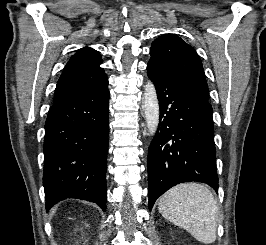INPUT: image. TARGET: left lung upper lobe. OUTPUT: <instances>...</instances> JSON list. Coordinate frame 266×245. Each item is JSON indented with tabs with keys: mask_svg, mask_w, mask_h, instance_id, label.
<instances>
[{
	"mask_svg": "<svg viewBox=\"0 0 266 245\" xmlns=\"http://www.w3.org/2000/svg\"><path fill=\"white\" fill-rule=\"evenodd\" d=\"M149 62L156 63L175 78L208 99V86L201 60L192 46L172 34L154 40Z\"/></svg>",
	"mask_w": 266,
	"mask_h": 245,
	"instance_id": "1",
	"label": "left lung upper lobe"
}]
</instances>
